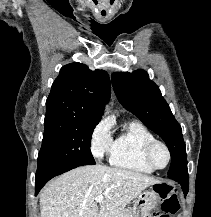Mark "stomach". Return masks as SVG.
I'll use <instances>...</instances> for the list:
<instances>
[{
	"label": "stomach",
	"mask_w": 211,
	"mask_h": 217,
	"mask_svg": "<svg viewBox=\"0 0 211 217\" xmlns=\"http://www.w3.org/2000/svg\"><path fill=\"white\" fill-rule=\"evenodd\" d=\"M158 189V186H152L136 197L132 207L133 217H150V212L157 206L160 199Z\"/></svg>",
	"instance_id": "stomach-1"
}]
</instances>
